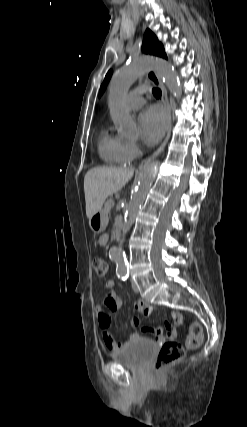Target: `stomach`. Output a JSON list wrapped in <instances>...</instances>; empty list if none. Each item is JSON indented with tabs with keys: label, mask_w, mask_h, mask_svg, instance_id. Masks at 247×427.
<instances>
[{
	"label": "stomach",
	"mask_w": 247,
	"mask_h": 427,
	"mask_svg": "<svg viewBox=\"0 0 247 427\" xmlns=\"http://www.w3.org/2000/svg\"><path fill=\"white\" fill-rule=\"evenodd\" d=\"M107 224L108 217L107 214L103 212V210H100L89 219L90 228L95 233L103 232L106 229Z\"/></svg>",
	"instance_id": "stomach-1"
}]
</instances>
